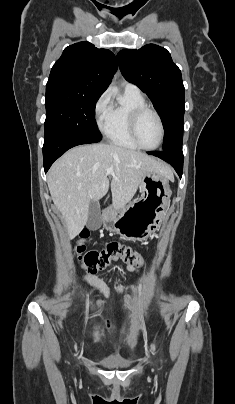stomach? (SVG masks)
Returning <instances> with one entry per match:
<instances>
[{
	"label": "stomach",
	"instance_id": "obj_1",
	"mask_svg": "<svg viewBox=\"0 0 235 404\" xmlns=\"http://www.w3.org/2000/svg\"><path fill=\"white\" fill-rule=\"evenodd\" d=\"M141 196L122 209L110 212L105 227L130 240H144L157 231L167 212L171 190L168 178L156 172L143 176Z\"/></svg>",
	"mask_w": 235,
	"mask_h": 404
}]
</instances>
